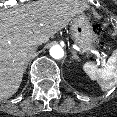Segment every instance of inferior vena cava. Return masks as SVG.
Segmentation results:
<instances>
[{
	"label": "inferior vena cava",
	"mask_w": 117,
	"mask_h": 117,
	"mask_svg": "<svg viewBox=\"0 0 117 117\" xmlns=\"http://www.w3.org/2000/svg\"><path fill=\"white\" fill-rule=\"evenodd\" d=\"M27 53H28L29 56L34 57V56L37 55L38 50H37L36 47L31 46V47L28 48Z\"/></svg>",
	"instance_id": "602c4592"
}]
</instances>
